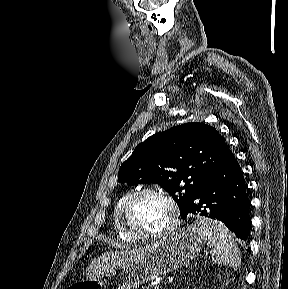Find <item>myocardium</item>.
Instances as JSON below:
<instances>
[{"label": "myocardium", "instance_id": "f54148a6", "mask_svg": "<svg viewBox=\"0 0 288 289\" xmlns=\"http://www.w3.org/2000/svg\"><path fill=\"white\" fill-rule=\"evenodd\" d=\"M143 195H154L163 199L170 210V220L169 223L159 231L152 233H143L132 228L127 221V212L132 204ZM180 210L177 202L172 196L161 189H156L153 187H144L139 190L132 192V194L123 202L119 209L118 217L119 223L122 229L132 238L137 240H157L172 234L179 225Z\"/></svg>", "mask_w": 288, "mask_h": 289}]
</instances>
